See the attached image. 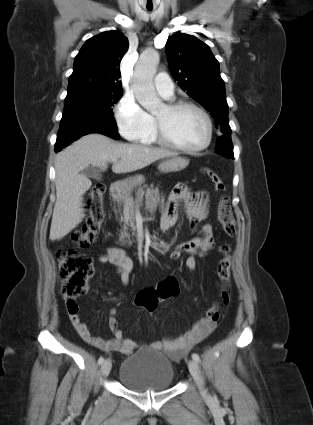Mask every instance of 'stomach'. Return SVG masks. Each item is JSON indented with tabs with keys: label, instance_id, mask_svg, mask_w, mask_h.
Here are the masks:
<instances>
[{
	"label": "stomach",
	"instance_id": "stomach-1",
	"mask_svg": "<svg viewBox=\"0 0 313 425\" xmlns=\"http://www.w3.org/2000/svg\"><path fill=\"white\" fill-rule=\"evenodd\" d=\"M189 164V160L184 157H172L170 159L162 161L158 169L162 173L179 172L185 169ZM145 181L143 175H136L129 177L117 184L118 192L127 193L131 192L135 187L141 185Z\"/></svg>",
	"mask_w": 313,
	"mask_h": 425
}]
</instances>
